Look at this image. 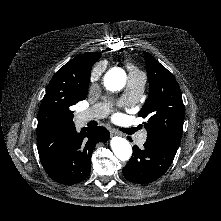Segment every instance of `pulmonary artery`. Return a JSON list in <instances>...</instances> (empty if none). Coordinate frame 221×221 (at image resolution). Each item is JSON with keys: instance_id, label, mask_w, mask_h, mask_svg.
<instances>
[{"instance_id": "e3ab8cb5", "label": "pulmonary artery", "mask_w": 221, "mask_h": 221, "mask_svg": "<svg viewBox=\"0 0 221 221\" xmlns=\"http://www.w3.org/2000/svg\"><path fill=\"white\" fill-rule=\"evenodd\" d=\"M146 83V77L141 72L130 73L127 82L126 92L122 97L123 103H130L137 101L143 91ZM107 113V107L103 105L94 106L88 110L79 113L77 122L79 124L87 123L93 119L103 118ZM146 140V132H142L138 137V144H143Z\"/></svg>"}]
</instances>
